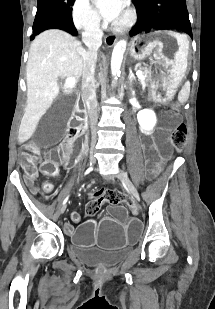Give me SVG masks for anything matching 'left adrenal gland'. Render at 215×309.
<instances>
[{"label": "left adrenal gland", "instance_id": "a2214340", "mask_svg": "<svg viewBox=\"0 0 215 309\" xmlns=\"http://www.w3.org/2000/svg\"><path fill=\"white\" fill-rule=\"evenodd\" d=\"M128 78H129L128 82H130V84H131L132 80H136V76H135V74H133L132 68H129V76H128Z\"/></svg>", "mask_w": 215, "mask_h": 309}]
</instances>
